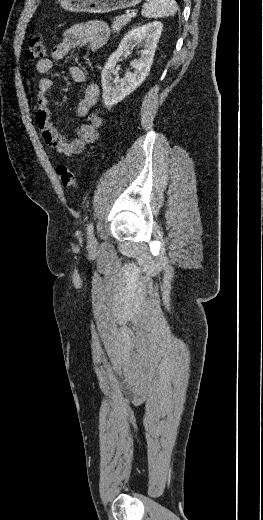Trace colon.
Instances as JSON below:
<instances>
[{"mask_svg":"<svg viewBox=\"0 0 263 520\" xmlns=\"http://www.w3.org/2000/svg\"><path fill=\"white\" fill-rule=\"evenodd\" d=\"M45 44L41 36L37 35L30 39L27 56L29 59H39L45 54ZM56 173L62 184L70 189H76L78 187V181L75 174L66 165H59L56 168Z\"/></svg>","mask_w":263,"mask_h":520,"instance_id":"colon-1","label":"colon"}]
</instances>
